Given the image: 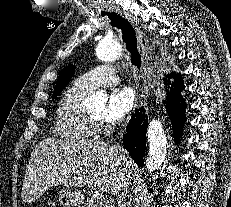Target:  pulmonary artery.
I'll list each match as a JSON object with an SVG mask.
<instances>
[{
  "label": "pulmonary artery",
  "instance_id": "e3ab8cb5",
  "mask_svg": "<svg viewBox=\"0 0 231 207\" xmlns=\"http://www.w3.org/2000/svg\"><path fill=\"white\" fill-rule=\"evenodd\" d=\"M119 77L115 69L110 64L98 65L86 73L80 75L74 84L87 92H90L98 87H109L116 84Z\"/></svg>",
  "mask_w": 231,
  "mask_h": 207
}]
</instances>
